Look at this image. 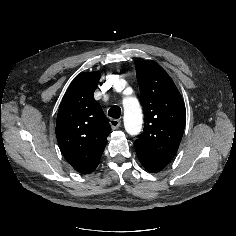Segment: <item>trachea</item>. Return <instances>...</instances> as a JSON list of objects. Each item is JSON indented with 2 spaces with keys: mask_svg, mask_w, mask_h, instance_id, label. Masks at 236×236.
I'll use <instances>...</instances> for the list:
<instances>
[{
  "mask_svg": "<svg viewBox=\"0 0 236 236\" xmlns=\"http://www.w3.org/2000/svg\"><path fill=\"white\" fill-rule=\"evenodd\" d=\"M108 115L112 118H119L121 115L120 107L117 105L112 106L108 111Z\"/></svg>",
  "mask_w": 236,
  "mask_h": 236,
  "instance_id": "1",
  "label": "trachea"
}]
</instances>
